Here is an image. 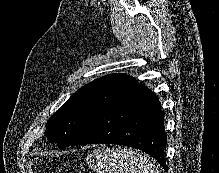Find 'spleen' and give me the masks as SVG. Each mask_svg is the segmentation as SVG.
I'll return each mask as SVG.
<instances>
[{
  "label": "spleen",
  "instance_id": "1",
  "mask_svg": "<svg viewBox=\"0 0 219 173\" xmlns=\"http://www.w3.org/2000/svg\"><path fill=\"white\" fill-rule=\"evenodd\" d=\"M88 162L97 173H160L146 156L127 148L94 150Z\"/></svg>",
  "mask_w": 219,
  "mask_h": 173
}]
</instances>
